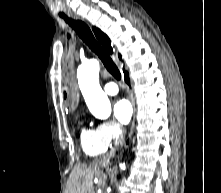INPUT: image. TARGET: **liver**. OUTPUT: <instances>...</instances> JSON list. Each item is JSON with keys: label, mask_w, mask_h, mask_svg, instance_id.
<instances>
[{"label": "liver", "mask_w": 221, "mask_h": 193, "mask_svg": "<svg viewBox=\"0 0 221 193\" xmlns=\"http://www.w3.org/2000/svg\"><path fill=\"white\" fill-rule=\"evenodd\" d=\"M111 155L96 160L93 164H77L72 170L67 183L66 193H93V176L99 167H108Z\"/></svg>", "instance_id": "liver-1"}]
</instances>
